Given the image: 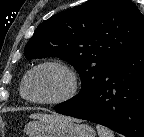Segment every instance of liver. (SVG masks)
I'll return each instance as SVG.
<instances>
[{"label":"liver","mask_w":144,"mask_h":137,"mask_svg":"<svg viewBox=\"0 0 144 137\" xmlns=\"http://www.w3.org/2000/svg\"><path fill=\"white\" fill-rule=\"evenodd\" d=\"M61 117H63V116L57 115V114L50 115V114L36 113V114L30 115L31 119H35V120H39V121L52 120V119L61 118Z\"/></svg>","instance_id":"liver-1"}]
</instances>
